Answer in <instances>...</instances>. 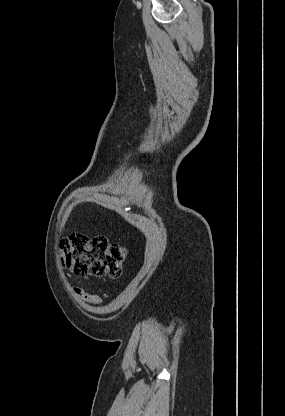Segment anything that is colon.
I'll return each mask as SVG.
<instances>
[{
  "label": "colon",
  "mask_w": 285,
  "mask_h": 416,
  "mask_svg": "<svg viewBox=\"0 0 285 416\" xmlns=\"http://www.w3.org/2000/svg\"><path fill=\"white\" fill-rule=\"evenodd\" d=\"M126 255L122 244L110 243L105 236L76 233L61 242L62 263L76 276L93 274L118 278Z\"/></svg>",
  "instance_id": "obj_1"
}]
</instances>
